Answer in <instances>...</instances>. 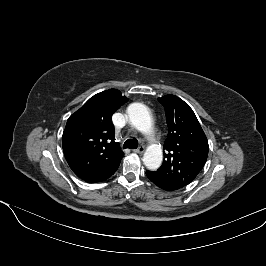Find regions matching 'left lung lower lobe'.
Instances as JSON below:
<instances>
[{"mask_svg":"<svg viewBox=\"0 0 266 266\" xmlns=\"http://www.w3.org/2000/svg\"><path fill=\"white\" fill-rule=\"evenodd\" d=\"M146 175L149 178L150 181H152L154 184H156L158 187L166 190V191H174L179 189L178 187L172 186L168 182L161 179L155 172L152 171H146Z\"/></svg>","mask_w":266,"mask_h":266,"instance_id":"0a47b994","label":"left lung lower lobe"}]
</instances>
